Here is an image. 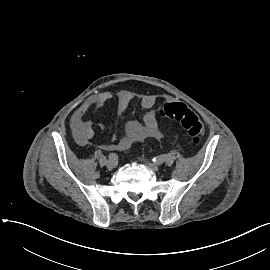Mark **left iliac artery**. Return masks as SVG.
Returning <instances> with one entry per match:
<instances>
[{"mask_svg":"<svg viewBox=\"0 0 270 270\" xmlns=\"http://www.w3.org/2000/svg\"><path fill=\"white\" fill-rule=\"evenodd\" d=\"M169 156L168 155H166V154H163V155H161V156H158V157H155V158H153V161L155 162V163H157V164H162L163 162H165V161H169Z\"/></svg>","mask_w":270,"mask_h":270,"instance_id":"1","label":"left iliac artery"}]
</instances>
